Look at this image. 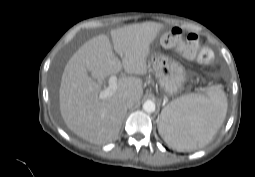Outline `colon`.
Wrapping results in <instances>:
<instances>
[{"label":"colon","instance_id":"colon-1","mask_svg":"<svg viewBox=\"0 0 255 177\" xmlns=\"http://www.w3.org/2000/svg\"><path fill=\"white\" fill-rule=\"evenodd\" d=\"M165 47L176 49L184 58L195 60L201 64H209L214 54L208 47H201L196 33H188L185 37L179 27H174L163 39Z\"/></svg>","mask_w":255,"mask_h":177}]
</instances>
